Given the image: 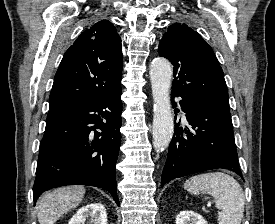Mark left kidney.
Listing matches in <instances>:
<instances>
[{
    "instance_id": "obj_1",
    "label": "left kidney",
    "mask_w": 275,
    "mask_h": 224,
    "mask_svg": "<svg viewBox=\"0 0 275 224\" xmlns=\"http://www.w3.org/2000/svg\"><path fill=\"white\" fill-rule=\"evenodd\" d=\"M176 224H207V222L194 211H181L176 217Z\"/></svg>"
}]
</instances>
